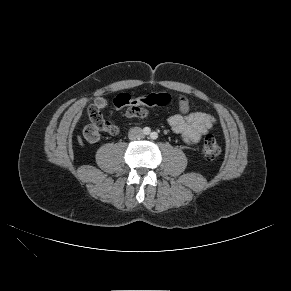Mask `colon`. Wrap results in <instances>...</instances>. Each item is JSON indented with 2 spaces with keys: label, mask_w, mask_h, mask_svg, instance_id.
I'll list each match as a JSON object with an SVG mask.
<instances>
[{
  "label": "colon",
  "mask_w": 291,
  "mask_h": 291,
  "mask_svg": "<svg viewBox=\"0 0 291 291\" xmlns=\"http://www.w3.org/2000/svg\"><path fill=\"white\" fill-rule=\"evenodd\" d=\"M170 101L171 97L168 94L136 93L134 95L132 92H118L112 106L118 111H123L129 103L148 104L153 107L166 109L170 105ZM88 116L89 123L85 125L83 135L89 143L97 142L101 132L113 134L116 131L114 125L106 121L93 105L88 110ZM202 153L209 160H213L220 155L221 146L214 136L208 135L205 137Z\"/></svg>",
  "instance_id": "1"
}]
</instances>
